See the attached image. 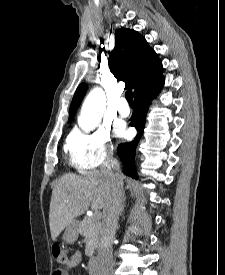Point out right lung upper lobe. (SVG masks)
Returning a JSON list of instances; mask_svg holds the SVG:
<instances>
[{
	"label": "right lung upper lobe",
	"mask_w": 225,
	"mask_h": 275,
	"mask_svg": "<svg viewBox=\"0 0 225 275\" xmlns=\"http://www.w3.org/2000/svg\"><path fill=\"white\" fill-rule=\"evenodd\" d=\"M109 68L114 76L134 89V97L146 88L149 81L162 75V63L145 38L137 31L121 28L116 33L115 47L109 56ZM87 86L77 88L69 110L71 120L80 105Z\"/></svg>",
	"instance_id": "cb5924a9"
}]
</instances>
